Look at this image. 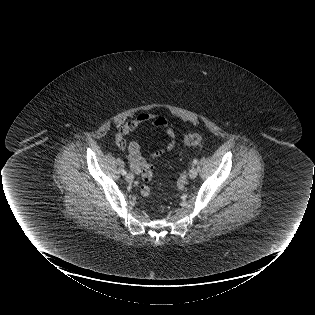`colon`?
<instances>
[{
  "mask_svg": "<svg viewBox=\"0 0 315 315\" xmlns=\"http://www.w3.org/2000/svg\"><path fill=\"white\" fill-rule=\"evenodd\" d=\"M201 141H202V136L199 134L187 135L184 140L187 146H197L201 143ZM117 143L120 146L123 145V140L121 137H118ZM152 177H153V165L149 163V164H146L141 171V178H142L143 184L140 190H141L142 196L145 198L149 197L151 194L152 189L150 186V182L152 180Z\"/></svg>",
  "mask_w": 315,
  "mask_h": 315,
  "instance_id": "obj_1",
  "label": "colon"
}]
</instances>
